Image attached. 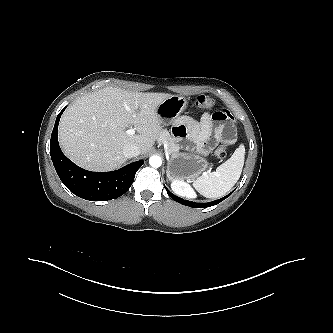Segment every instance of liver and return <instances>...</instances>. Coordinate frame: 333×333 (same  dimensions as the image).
Wrapping results in <instances>:
<instances>
[{
	"instance_id": "liver-1",
	"label": "liver",
	"mask_w": 333,
	"mask_h": 333,
	"mask_svg": "<svg viewBox=\"0 0 333 333\" xmlns=\"http://www.w3.org/2000/svg\"><path fill=\"white\" fill-rule=\"evenodd\" d=\"M170 96L115 87L86 94L70 105L60 120L62 150L77 165L93 171H108L124 164L127 158L123 148L130 144L146 154L163 132L156 109ZM129 127L138 134L128 135Z\"/></svg>"
}]
</instances>
